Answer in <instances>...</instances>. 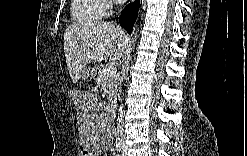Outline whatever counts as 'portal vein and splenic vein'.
Here are the masks:
<instances>
[{
	"instance_id": "obj_1",
	"label": "portal vein and splenic vein",
	"mask_w": 247,
	"mask_h": 156,
	"mask_svg": "<svg viewBox=\"0 0 247 156\" xmlns=\"http://www.w3.org/2000/svg\"><path fill=\"white\" fill-rule=\"evenodd\" d=\"M105 74L106 75H115L116 74V68L112 65L108 66L106 69H105Z\"/></svg>"
}]
</instances>
